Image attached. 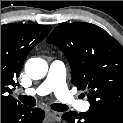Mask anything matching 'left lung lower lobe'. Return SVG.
<instances>
[{"mask_svg":"<svg viewBox=\"0 0 123 123\" xmlns=\"http://www.w3.org/2000/svg\"><path fill=\"white\" fill-rule=\"evenodd\" d=\"M62 118L69 123H123V111L91 106L87 112H66Z\"/></svg>","mask_w":123,"mask_h":123,"instance_id":"0a47b994","label":"left lung lower lobe"}]
</instances>
